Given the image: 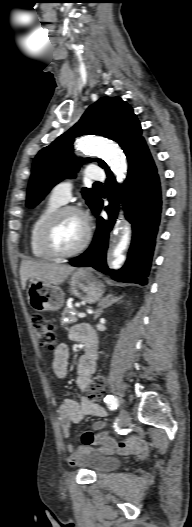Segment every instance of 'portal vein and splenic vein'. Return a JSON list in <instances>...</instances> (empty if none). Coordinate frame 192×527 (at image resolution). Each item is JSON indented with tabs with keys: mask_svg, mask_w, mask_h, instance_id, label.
<instances>
[{
	"mask_svg": "<svg viewBox=\"0 0 192 527\" xmlns=\"http://www.w3.org/2000/svg\"><path fill=\"white\" fill-rule=\"evenodd\" d=\"M77 316H78L79 318H84V317H86V313H84V312H80V313L77 314Z\"/></svg>",
	"mask_w": 192,
	"mask_h": 527,
	"instance_id": "18ae733b",
	"label": "portal vein and splenic vein"
}]
</instances>
